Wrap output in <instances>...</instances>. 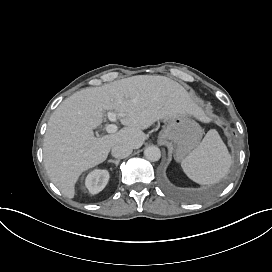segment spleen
I'll return each instance as SVG.
<instances>
[{
	"label": "spleen",
	"mask_w": 272,
	"mask_h": 272,
	"mask_svg": "<svg viewBox=\"0 0 272 272\" xmlns=\"http://www.w3.org/2000/svg\"><path fill=\"white\" fill-rule=\"evenodd\" d=\"M230 165L231 157L215 130H209L181 161L186 175L199 184L218 182L228 173Z\"/></svg>",
	"instance_id": "1"
}]
</instances>
